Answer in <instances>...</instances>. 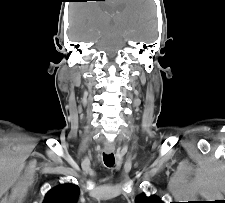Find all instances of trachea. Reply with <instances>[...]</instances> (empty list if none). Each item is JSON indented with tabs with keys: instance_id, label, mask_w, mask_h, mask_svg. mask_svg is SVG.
<instances>
[{
	"instance_id": "1",
	"label": "trachea",
	"mask_w": 225,
	"mask_h": 203,
	"mask_svg": "<svg viewBox=\"0 0 225 203\" xmlns=\"http://www.w3.org/2000/svg\"><path fill=\"white\" fill-rule=\"evenodd\" d=\"M103 160L107 167H112L115 164L114 155L111 154H103Z\"/></svg>"
}]
</instances>
